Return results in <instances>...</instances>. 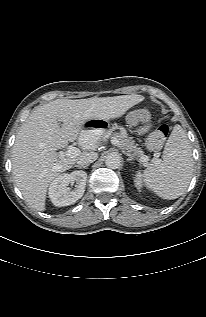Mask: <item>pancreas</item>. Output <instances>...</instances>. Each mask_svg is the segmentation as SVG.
I'll return each instance as SVG.
<instances>
[{
    "label": "pancreas",
    "mask_w": 206,
    "mask_h": 317,
    "mask_svg": "<svg viewBox=\"0 0 206 317\" xmlns=\"http://www.w3.org/2000/svg\"><path fill=\"white\" fill-rule=\"evenodd\" d=\"M116 139H118L122 149L132 154L134 157H142L143 151L140 147L135 144L134 140L127 136V133L124 129H121L120 133H112Z\"/></svg>",
    "instance_id": "pancreas-1"
}]
</instances>
